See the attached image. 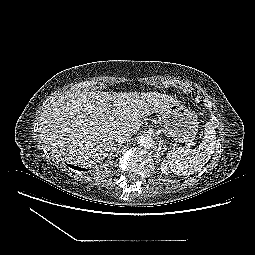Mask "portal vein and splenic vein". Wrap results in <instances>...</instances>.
<instances>
[{"mask_svg": "<svg viewBox=\"0 0 255 255\" xmlns=\"http://www.w3.org/2000/svg\"><path fill=\"white\" fill-rule=\"evenodd\" d=\"M109 119L113 120L114 118L112 116H109ZM194 145H195V143H193V142L188 143V147L194 146Z\"/></svg>", "mask_w": 255, "mask_h": 255, "instance_id": "portal-vein-and-splenic-vein-1", "label": "portal vein and splenic vein"}]
</instances>
